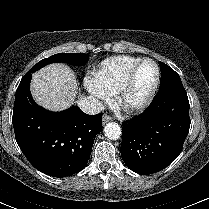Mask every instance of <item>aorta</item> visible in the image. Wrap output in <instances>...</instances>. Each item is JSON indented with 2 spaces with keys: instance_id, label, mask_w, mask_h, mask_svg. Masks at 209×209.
I'll list each match as a JSON object with an SVG mask.
<instances>
[{
  "instance_id": "aorta-1",
  "label": "aorta",
  "mask_w": 209,
  "mask_h": 209,
  "mask_svg": "<svg viewBox=\"0 0 209 209\" xmlns=\"http://www.w3.org/2000/svg\"><path fill=\"white\" fill-rule=\"evenodd\" d=\"M104 134L108 139L116 140L120 138L122 131L118 123L109 122L104 127Z\"/></svg>"
}]
</instances>
